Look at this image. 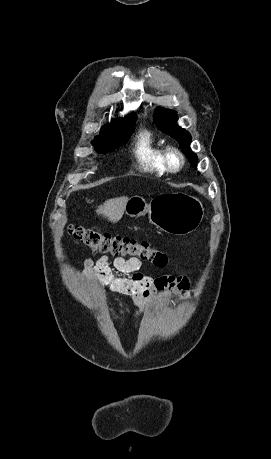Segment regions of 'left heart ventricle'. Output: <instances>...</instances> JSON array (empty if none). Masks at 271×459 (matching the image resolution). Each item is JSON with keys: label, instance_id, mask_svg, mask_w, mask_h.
Masks as SVG:
<instances>
[{"label": "left heart ventricle", "instance_id": "1", "mask_svg": "<svg viewBox=\"0 0 271 459\" xmlns=\"http://www.w3.org/2000/svg\"><path fill=\"white\" fill-rule=\"evenodd\" d=\"M173 162H174V164H175V165H177V164H178V160H177V158H176V157H174V158H173Z\"/></svg>", "mask_w": 271, "mask_h": 459}]
</instances>
